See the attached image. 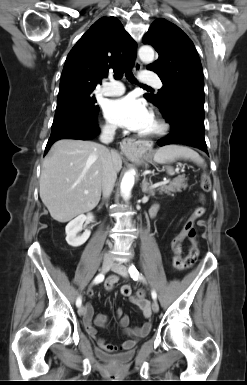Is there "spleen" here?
Masks as SVG:
<instances>
[{"label":"spleen","instance_id":"3e777b00","mask_svg":"<svg viewBox=\"0 0 247 385\" xmlns=\"http://www.w3.org/2000/svg\"><path fill=\"white\" fill-rule=\"evenodd\" d=\"M178 159L191 160L197 164L204 163V160L196 151L187 146L176 144L163 146L159 148L154 155V161L160 164H165ZM167 172L170 175L174 174V171L171 167H167Z\"/></svg>","mask_w":247,"mask_h":385}]
</instances>
